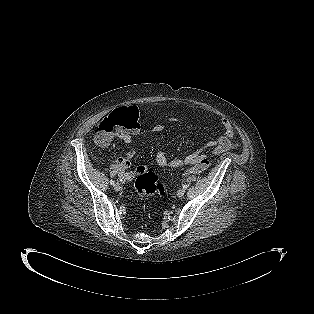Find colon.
Masks as SVG:
<instances>
[{"instance_id":"1","label":"colon","mask_w":314,"mask_h":314,"mask_svg":"<svg viewBox=\"0 0 314 314\" xmlns=\"http://www.w3.org/2000/svg\"><path fill=\"white\" fill-rule=\"evenodd\" d=\"M139 128L138 111L133 106L119 108L104 118L98 128L96 140L105 142L112 137L114 133L130 132ZM210 165V160L206 157L200 158L190 168L185 170V174L201 173ZM137 193L144 197L148 195H163L165 186L158 179L157 175L149 171L146 167L141 166L137 169V178L135 181Z\"/></svg>"}]
</instances>
